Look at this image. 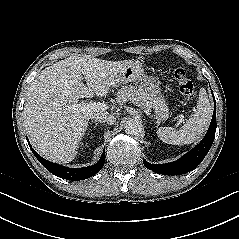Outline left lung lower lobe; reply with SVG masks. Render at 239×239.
Listing matches in <instances>:
<instances>
[{"label":"left lung lower lobe","instance_id":"obj_1","mask_svg":"<svg viewBox=\"0 0 239 239\" xmlns=\"http://www.w3.org/2000/svg\"><path fill=\"white\" fill-rule=\"evenodd\" d=\"M213 98L215 102L214 104L215 109L213 112L211 124L203 140L177 161L166 163V164H150L146 161H143L146 168L159 174L181 175V174L190 172L202 162V160L205 158L206 154L210 150L215 138L216 101H215L214 95H213Z\"/></svg>","mask_w":239,"mask_h":239}]
</instances>
